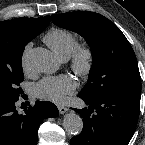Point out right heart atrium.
<instances>
[{
  "mask_svg": "<svg viewBox=\"0 0 145 145\" xmlns=\"http://www.w3.org/2000/svg\"><path fill=\"white\" fill-rule=\"evenodd\" d=\"M30 49H31V43H28L24 46L23 51H22L21 65H22V69H23L24 73L29 72V69L27 67V58H28V54L30 52Z\"/></svg>",
  "mask_w": 145,
  "mask_h": 145,
  "instance_id": "obj_1",
  "label": "right heart atrium"
}]
</instances>
